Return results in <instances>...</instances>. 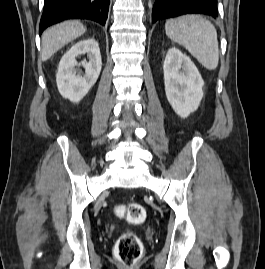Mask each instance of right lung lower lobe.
Returning a JSON list of instances; mask_svg holds the SVG:
<instances>
[{
    "instance_id": "obj_1",
    "label": "right lung lower lobe",
    "mask_w": 265,
    "mask_h": 269,
    "mask_svg": "<svg viewBox=\"0 0 265 269\" xmlns=\"http://www.w3.org/2000/svg\"><path fill=\"white\" fill-rule=\"evenodd\" d=\"M109 4L110 0H44L39 33L50 25L70 18L94 20L104 25Z\"/></svg>"
}]
</instances>
